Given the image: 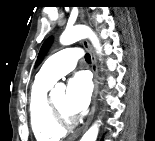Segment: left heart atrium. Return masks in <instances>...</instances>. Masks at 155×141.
Returning <instances> with one entry per match:
<instances>
[{
	"label": "left heart atrium",
	"mask_w": 155,
	"mask_h": 141,
	"mask_svg": "<svg viewBox=\"0 0 155 141\" xmlns=\"http://www.w3.org/2000/svg\"><path fill=\"white\" fill-rule=\"evenodd\" d=\"M91 98V83L88 76L80 72L68 82L65 94V106L70 115L83 112Z\"/></svg>",
	"instance_id": "1"
}]
</instances>
